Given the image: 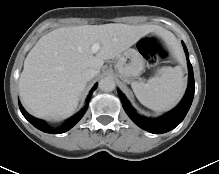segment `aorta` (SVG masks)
Wrapping results in <instances>:
<instances>
[{"label": "aorta", "instance_id": "762f6f07", "mask_svg": "<svg viewBox=\"0 0 219 174\" xmlns=\"http://www.w3.org/2000/svg\"><path fill=\"white\" fill-rule=\"evenodd\" d=\"M115 81L110 77L102 78L99 81V88L104 92H110L115 89Z\"/></svg>", "mask_w": 219, "mask_h": 174}]
</instances>
